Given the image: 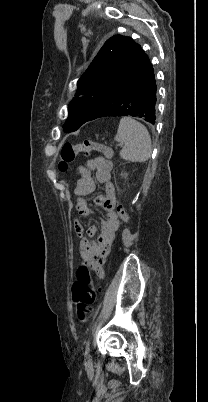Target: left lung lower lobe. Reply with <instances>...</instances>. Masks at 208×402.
<instances>
[{"label": "left lung lower lobe", "mask_w": 208, "mask_h": 402, "mask_svg": "<svg viewBox=\"0 0 208 402\" xmlns=\"http://www.w3.org/2000/svg\"><path fill=\"white\" fill-rule=\"evenodd\" d=\"M157 85L154 69L144 52L143 64L118 98L99 116H133L155 124Z\"/></svg>", "instance_id": "0a47b994"}]
</instances>
